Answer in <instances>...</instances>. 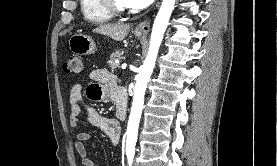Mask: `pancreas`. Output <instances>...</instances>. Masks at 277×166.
Listing matches in <instances>:
<instances>
[{
	"label": "pancreas",
	"instance_id": "1",
	"mask_svg": "<svg viewBox=\"0 0 277 166\" xmlns=\"http://www.w3.org/2000/svg\"><path fill=\"white\" fill-rule=\"evenodd\" d=\"M123 51L122 50H117L114 53L111 54L110 59L108 61L109 68L111 69L112 72L116 71L117 68L119 67V64L115 63L116 59H121L122 58Z\"/></svg>",
	"mask_w": 277,
	"mask_h": 166
}]
</instances>
